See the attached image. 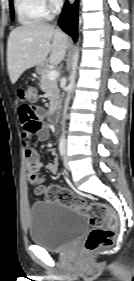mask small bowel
I'll return each instance as SVG.
<instances>
[{
  "label": "small bowel",
  "instance_id": "obj_1",
  "mask_svg": "<svg viewBox=\"0 0 134 281\" xmlns=\"http://www.w3.org/2000/svg\"><path fill=\"white\" fill-rule=\"evenodd\" d=\"M17 95L21 101L18 107V116L23 126V147L28 169L45 168L52 173L57 172L58 162L56 151L49 149L52 161L43 163L31 140L34 136L39 142H43L50 137V129L43 122L45 110L40 106H36L35 104L26 101V90L24 88H19L17 90Z\"/></svg>",
  "mask_w": 134,
  "mask_h": 281
}]
</instances>
